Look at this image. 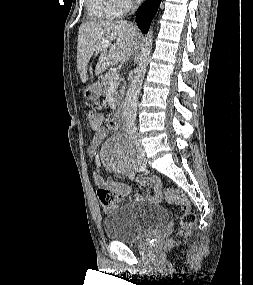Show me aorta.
Masks as SVG:
<instances>
[{"instance_id": "1", "label": "aorta", "mask_w": 253, "mask_h": 285, "mask_svg": "<svg viewBox=\"0 0 253 285\" xmlns=\"http://www.w3.org/2000/svg\"><path fill=\"white\" fill-rule=\"evenodd\" d=\"M153 43V30L150 28L146 38L144 47L142 48L140 59L136 68V73L130 83L126 93L124 104V117L128 128L132 129L136 124V110L138 95L141 90V85L146 73L149 55L151 53Z\"/></svg>"}]
</instances>
